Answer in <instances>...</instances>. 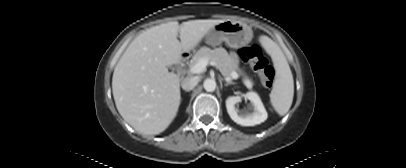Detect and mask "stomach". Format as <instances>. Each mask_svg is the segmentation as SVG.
I'll list each match as a JSON object with an SVG mask.
<instances>
[{
	"label": "stomach",
	"mask_w": 406,
	"mask_h": 168,
	"mask_svg": "<svg viewBox=\"0 0 406 168\" xmlns=\"http://www.w3.org/2000/svg\"><path fill=\"white\" fill-rule=\"evenodd\" d=\"M253 32L250 26L240 21L225 20L217 24L206 35V43L217 46L225 42L229 47L239 49L251 42Z\"/></svg>",
	"instance_id": "1"
}]
</instances>
